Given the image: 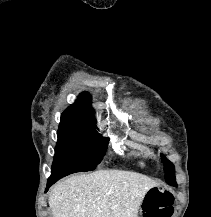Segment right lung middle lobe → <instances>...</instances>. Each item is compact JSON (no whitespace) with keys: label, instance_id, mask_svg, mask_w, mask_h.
<instances>
[{"label":"right lung middle lobe","instance_id":"obj_1","mask_svg":"<svg viewBox=\"0 0 211 217\" xmlns=\"http://www.w3.org/2000/svg\"><path fill=\"white\" fill-rule=\"evenodd\" d=\"M96 129L97 127L59 126L49 179H60L75 172L96 168L105 154L109 140Z\"/></svg>","mask_w":211,"mask_h":217}]
</instances>
